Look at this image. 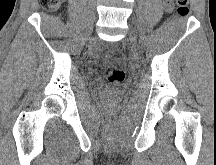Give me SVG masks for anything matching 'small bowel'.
Wrapping results in <instances>:
<instances>
[{
  "label": "small bowel",
  "instance_id": "1",
  "mask_svg": "<svg viewBox=\"0 0 216 165\" xmlns=\"http://www.w3.org/2000/svg\"><path fill=\"white\" fill-rule=\"evenodd\" d=\"M164 4L167 9L172 8V0H164Z\"/></svg>",
  "mask_w": 216,
  "mask_h": 165
}]
</instances>
